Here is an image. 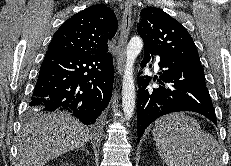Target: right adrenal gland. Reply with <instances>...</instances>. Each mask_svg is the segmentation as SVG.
<instances>
[{"label":"right adrenal gland","mask_w":231,"mask_h":166,"mask_svg":"<svg viewBox=\"0 0 231 166\" xmlns=\"http://www.w3.org/2000/svg\"><path fill=\"white\" fill-rule=\"evenodd\" d=\"M81 149L84 150L86 153L89 154V152L86 150L85 146H83Z\"/></svg>","instance_id":"right-adrenal-gland-1"}]
</instances>
